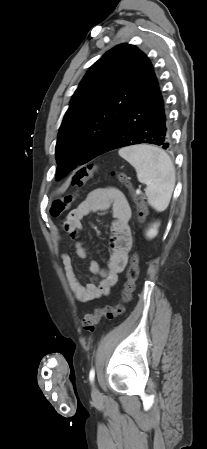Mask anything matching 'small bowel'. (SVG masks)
<instances>
[{
  "label": "small bowel",
  "instance_id": "obj_1",
  "mask_svg": "<svg viewBox=\"0 0 207 449\" xmlns=\"http://www.w3.org/2000/svg\"><path fill=\"white\" fill-rule=\"evenodd\" d=\"M111 207L112 237L109 256L105 267L100 268L97 263L90 264V271L96 278L87 285H82L80 275L75 271L73 260L67 253L61 254V261L69 282L70 289L78 300L88 302L108 294L109 290L118 282L119 274L125 268L132 247L130 220L132 212L121 191L115 188L102 187L90 192L79 206L67 215L63 222V229L75 240L76 253L79 258L86 257V249L82 241L78 240L82 231V220L91 212L104 211Z\"/></svg>",
  "mask_w": 207,
  "mask_h": 449
}]
</instances>
